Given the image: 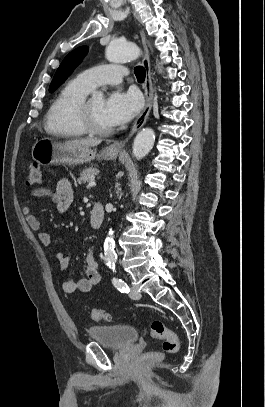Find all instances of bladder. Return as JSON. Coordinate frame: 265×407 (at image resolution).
<instances>
[{"mask_svg": "<svg viewBox=\"0 0 265 407\" xmlns=\"http://www.w3.org/2000/svg\"><path fill=\"white\" fill-rule=\"evenodd\" d=\"M87 334L92 340L115 349L128 347L139 338V332L127 325L91 326Z\"/></svg>", "mask_w": 265, "mask_h": 407, "instance_id": "bladder-1", "label": "bladder"}]
</instances>
